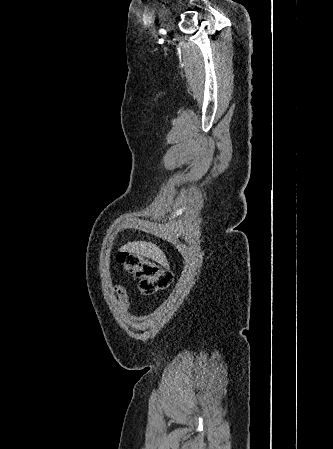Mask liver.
<instances>
[{
    "label": "liver",
    "instance_id": "obj_1",
    "mask_svg": "<svg viewBox=\"0 0 333 449\" xmlns=\"http://www.w3.org/2000/svg\"><path fill=\"white\" fill-rule=\"evenodd\" d=\"M121 252L128 251L137 255H143L147 258L155 260L162 266H167V259L164 253L155 245L150 242H130L120 248Z\"/></svg>",
    "mask_w": 333,
    "mask_h": 449
}]
</instances>
